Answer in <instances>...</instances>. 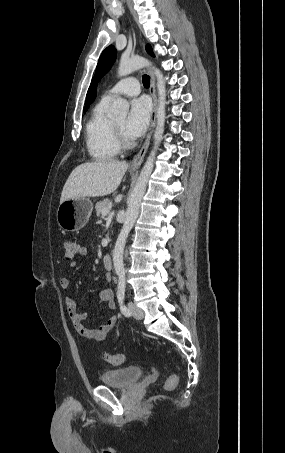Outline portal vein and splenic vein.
<instances>
[{
	"instance_id": "portal-vein-and-splenic-vein-1",
	"label": "portal vein and splenic vein",
	"mask_w": 285,
	"mask_h": 453,
	"mask_svg": "<svg viewBox=\"0 0 285 453\" xmlns=\"http://www.w3.org/2000/svg\"><path fill=\"white\" fill-rule=\"evenodd\" d=\"M107 214H109V209H105L102 211L103 216H106Z\"/></svg>"
}]
</instances>
